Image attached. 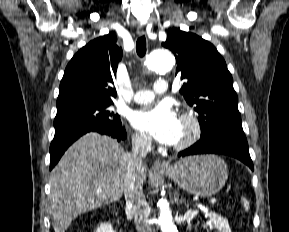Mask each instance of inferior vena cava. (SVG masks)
<instances>
[{"label": "inferior vena cava", "mask_w": 289, "mask_h": 232, "mask_svg": "<svg viewBox=\"0 0 289 232\" xmlns=\"http://www.w3.org/2000/svg\"><path fill=\"white\" fill-rule=\"evenodd\" d=\"M151 149V138L146 135H136L132 139V152L125 156L124 195L126 214L134 215L138 232H152L149 223V206L146 202L142 184L136 174L141 168L142 160Z\"/></svg>", "instance_id": "obj_1"}]
</instances>
